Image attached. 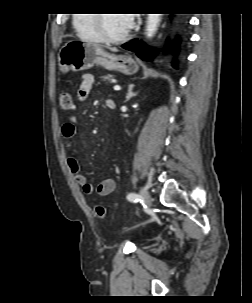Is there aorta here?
I'll list each match as a JSON object with an SVG mask.
<instances>
[{
    "mask_svg": "<svg viewBox=\"0 0 252 303\" xmlns=\"http://www.w3.org/2000/svg\"><path fill=\"white\" fill-rule=\"evenodd\" d=\"M161 21V14H148L146 24V35L152 37L155 35Z\"/></svg>",
    "mask_w": 252,
    "mask_h": 303,
    "instance_id": "aorta-1",
    "label": "aorta"
}]
</instances>
